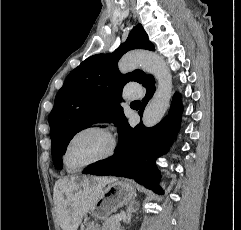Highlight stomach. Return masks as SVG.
I'll use <instances>...</instances> for the list:
<instances>
[{
    "label": "stomach",
    "mask_w": 241,
    "mask_h": 230,
    "mask_svg": "<svg viewBox=\"0 0 241 230\" xmlns=\"http://www.w3.org/2000/svg\"><path fill=\"white\" fill-rule=\"evenodd\" d=\"M136 194L133 185L126 180H119L105 185L94 209L91 210L92 216L96 220H105L118 208L131 201ZM80 230H103L94 221L85 220L81 224Z\"/></svg>",
    "instance_id": "1"
}]
</instances>
